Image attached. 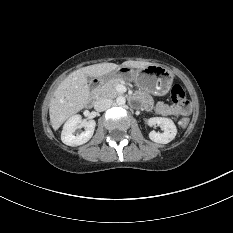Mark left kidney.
<instances>
[{
	"instance_id": "1",
	"label": "left kidney",
	"mask_w": 233,
	"mask_h": 233,
	"mask_svg": "<svg viewBox=\"0 0 233 233\" xmlns=\"http://www.w3.org/2000/svg\"><path fill=\"white\" fill-rule=\"evenodd\" d=\"M149 125H162L163 126V133H157L155 131H151L149 133V138L156 142L161 144H167L171 142L176 134H177V128L174 122L169 118L164 117H153L148 120Z\"/></svg>"
}]
</instances>
